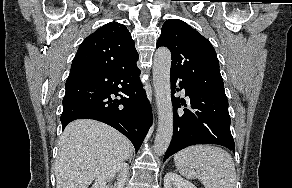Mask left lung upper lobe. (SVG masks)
<instances>
[{"instance_id":"1","label":"left lung upper lobe","mask_w":292,"mask_h":188,"mask_svg":"<svg viewBox=\"0 0 292 188\" xmlns=\"http://www.w3.org/2000/svg\"><path fill=\"white\" fill-rule=\"evenodd\" d=\"M160 46L171 51V74L202 88L225 93L213 46L187 23L167 20L157 41V47Z\"/></svg>"}]
</instances>
